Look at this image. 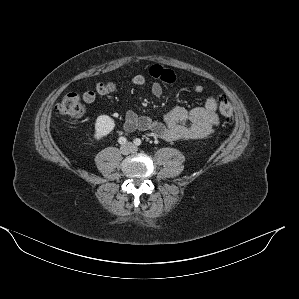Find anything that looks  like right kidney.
Wrapping results in <instances>:
<instances>
[{
    "instance_id": "right-kidney-1",
    "label": "right kidney",
    "mask_w": 299,
    "mask_h": 299,
    "mask_svg": "<svg viewBox=\"0 0 299 299\" xmlns=\"http://www.w3.org/2000/svg\"><path fill=\"white\" fill-rule=\"evenodd\" d=\"M115 127L114 120L108 115H100L95 121L94 138L100 140L107 136Z\"/></svg>"
}]
</instances>
